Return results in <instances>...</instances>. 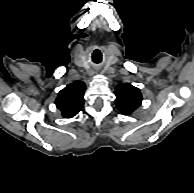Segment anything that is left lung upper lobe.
I'll use <instances>...</instances> for the list:
<instances>
[{"label":"left lung upper lobe","mask_w":194,"mask_h":193,"mask_svg":"<svg viewBox=\"0 0 194 193\" xmlns=\"http://www.w3.org/2000/svg\"><path fill=\"white\" fill-rule=\"evenodd\" d=\"M116 106L123 114H130L136 110L142 102V96L138 88L128 83L116 86Z\"/></svg>","instance_id":"1"}]
</instances>
